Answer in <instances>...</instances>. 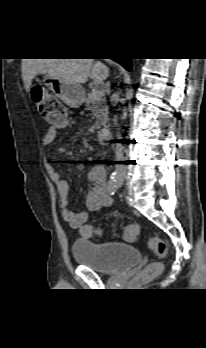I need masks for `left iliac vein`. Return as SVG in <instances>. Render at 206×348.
<instances>
[{"label":"left iliac vein","mask_w":206,"mask_h":348,"mask_svg":"<svg viewBox=\"0 0 206 348\" xmlns=\"http://www.w3.org/2000/svg\"><path fill=\"white\" fill-rule=\"evenodd\" d=\"M123 183V180H121L120 182H118V187H121Z\"/></svg>","instance_id":"1"}]
</instances>
